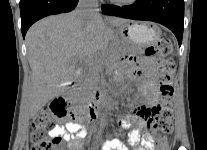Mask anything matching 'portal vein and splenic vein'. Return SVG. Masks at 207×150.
I'll return each instance as SVG.
<instances>
[{
	"instance_id": "obj_1",
	"label": "portal vein and splenic vein",
	"mask_w": 207,
	"mask_h": 150,
	"mask_svg": "<svg viewBox=\"0 0 207 150\" xmlns=\"http://www.w3.org/2000/svg\"><path fill=\"white\" fill-rule=\"evenodd\" d=\"M98 62H99V61L95 58V59L91 60V61L89 62L88 65H90V64H92V63H98Z\"/></svg>"
}]
</instances>
